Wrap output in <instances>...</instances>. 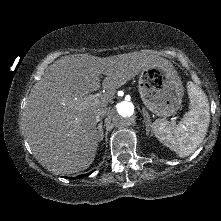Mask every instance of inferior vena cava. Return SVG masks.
<instances>
[{
  "instance_id": "602c4592",
  "label": "inferior vena cava",
  "mask_w": 221,
  "mask_h": 221,
  "mask_svg": "<svg viewBox=\"0 0 221 221\" xmlns=\"http://www.w3.org/2000/svg\"><path fill=\"white\" fill-rule=\"evenodd\" d=\"M108 112V108H102L101 110H99V112L97 113L95 120L96 122H99L100 120H102V118H104V116L106 115V113Z\"/></svg>"
}]
</instances>
